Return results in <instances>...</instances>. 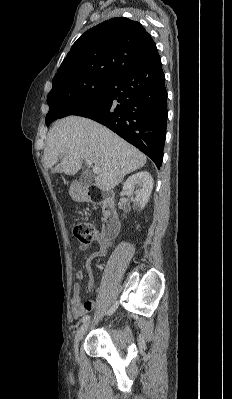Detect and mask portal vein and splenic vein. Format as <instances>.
I'll list each match as a JSON object with an SVG mask.
<instances>
[{
    "instance_id": "portal-vein-and-splenic-vein-1",
    "label": "portal vein and splenic vein",
    "mask_w": 232,
    "mask_h": 399,
    "mask_svg": "<svg viewBox=\"0 0 232 399\" xmlns=\"http://www.w3.org/2000/svg\"><path fill=\"white\" fill-rule=\"evenodd\" d=\"M86 164H87V166H92L93 162H91V160H86ZM93 172H94V174H100V170H98V168H96V166H94Z\"/></svg>"
}]
</instances>
